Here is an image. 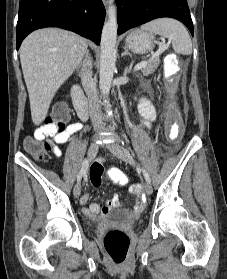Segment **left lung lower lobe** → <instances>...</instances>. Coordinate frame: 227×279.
Masks as SVG:
<instances>
[{
	"label": "left lung lower lobe",
	"mask_w": 227,
	"mask_h": 279,
	"mask_svg": "<svg viewBox=\"0 0 227 279\" xmlns=\"http://www.w3.org/2000/svg\"><path fill=\"white\" fill-rule=\"evenodd\" d=\"M118 35L148 21L170 17L184 23L193 35L187 0H117Z\"/></svg>",
	"instance_id": "0a47b994"
}]
</instances>
